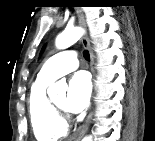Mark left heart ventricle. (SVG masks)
Returning <instances> with one entry per match:
<instances>
[{"instance_id":"obj_1","label":"left heart ventricle","mask_w":155,"mask_h":141,"mask_svg":"<svg viewBox=\"0 0 155 141\" xmlns=\"http://www.w3.org/2000/svg\"><path fill=\"white\" fill-rule=\"evenodd\" d=\"M53 102L59 106L60 108H64L65 107V96H61L55 100H53Z\"/></svg>"}]
</instances>
